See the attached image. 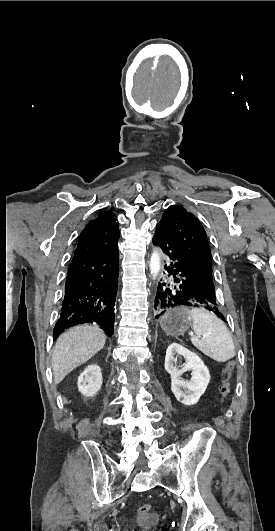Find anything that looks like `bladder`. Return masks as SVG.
I'll use <instances>...</instances> for the list:
<instances>
[{
	"mask_svg": "<svg viewBox=\"0 0 275 531\" xmlns=\"http://www.w3.org/2000/svg\"><path fill=\"white\" fill-rule=\"evenodd\" d=\"M159 519H160V516L158 514H155V513H152V514H150V513H141L140 520H141V522H143V524L146 527V528H144L143 531H150L149 528H147V527L156 525L157 522L159 521Z\"/></svg>",
	"mask_w": 275,
	"mask_h": 531,
	"instance_id": "bladder-1",
	"label": "bladder"
}]
</instances>
